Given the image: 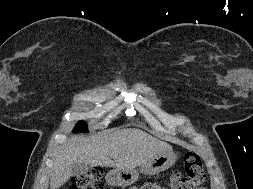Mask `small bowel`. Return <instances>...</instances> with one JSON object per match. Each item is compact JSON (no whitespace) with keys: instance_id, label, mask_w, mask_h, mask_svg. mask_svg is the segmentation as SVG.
Wrapping results in <instances>:
<instances>
[{"instance_id":"obj_1","label":"small bowel","mask_w":253,"mask_h":189,"mask_svg":"<svg viewBox=\"0 0 253 189\" xmlns=\"http://www.w3.org/2000/svg\"><path fill=\"white\" fill-rule=\"evenodd\" d=\"M133 189H137V188H133ZM140 189H165V188L159 184H146L142 186Z\"/></svg>"}]
</instances>
